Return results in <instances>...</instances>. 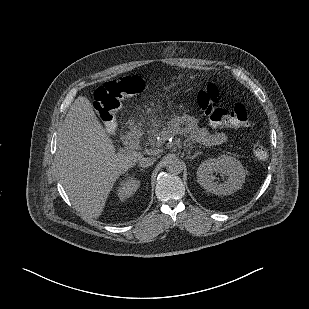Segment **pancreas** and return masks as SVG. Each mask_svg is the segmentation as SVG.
<instances>
[{"instance_id": "cf45deb5", "label": "pancreas", "mask_w": 309, "mask_h": 309, "mask_svg": "<svg viewBox=\"0 0 309 309\" xmlns=\"http://www.w3.org/2000/svg\"><path fill=\"white\" fill-rule=\"evenodd\" d=\"M172 131V129L168 128H163V130H159L158 128L151 129L147 134L146 144L152 147H160L164 143L163 139L168 138ZM158 136L161 137L160 141L163 143H161L159 140H156Z\"/></svg>"}]
</instances>
